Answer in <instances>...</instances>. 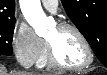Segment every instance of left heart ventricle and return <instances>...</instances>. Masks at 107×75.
I'll return each instance as SVG.
<instances>
[{
	"label": "left heart ventricle",
	"mask_w": 107,
	"mask_h": 75,
	"mask_svg": "<svg viewBox=\"0 0 107 75\" xmlns=\"http://www.w3.org/2000/svg\"><path fill=\"white\" fill-rule=\"evenodd\" d=\"M59 61L65 65L75 66L87 59L86 50L78 36L71 30L53 28L47 36Z\"/></svg>",
	"instance_id": "left-heart-ventricle-1"
}]
</instances>
